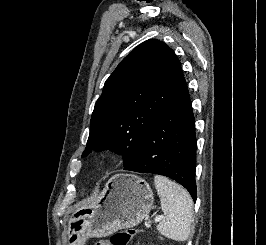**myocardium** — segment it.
I'll return each mask as SVG.
<instances>
[{
	"label": "myocardium",
	"instance_id": "obj_1",
	"mask_svg": "<svg viewBox=\"0 0 266 245\" xmlns=\"http://www.w3.org/2000/svg\"><path fill=\"white\" fill-rule=\"evenodd\" d=\"M114 160H115L114 154L110 152H105L98 156L97 163L101 167H109L113 164Z\"/></svg>",
	"mask_w": 266,
	"mask_h": 245
}]
</instances>
